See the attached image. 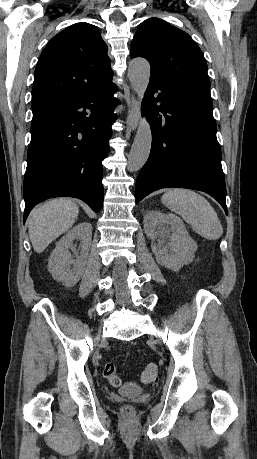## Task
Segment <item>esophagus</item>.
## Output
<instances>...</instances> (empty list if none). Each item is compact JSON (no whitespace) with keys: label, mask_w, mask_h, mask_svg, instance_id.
Here are the masks:
<instances>
[{"label":"esophagus","mask_w":257,"mask_h":459,"mask_svg":"<svg viewBox=\"0 0 257 459\" xmlns=\"http://www.w3.org/2000/svg\"><path fill=\"white\" fill-rule=\"evenodd\" d=\"M139 122V103L134 95L131 97V107L128 111L126 124L131 131H135Z\"/></svg>","instance_id":"obj_1"}]
</instances>
